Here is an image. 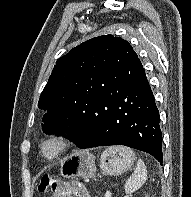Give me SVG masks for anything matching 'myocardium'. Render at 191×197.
<instances>
[{
  "label": "myocardium",
  "mask_w": 191,
  "mask_h": 197,
  "mask_svg": "<svg viewBox=\"0 0 191 197\" xmlns=\"http://www.w3.org/2000/svg\"><path fill=\"white\" fill-rule=\"evenodd\" d=\"M72 145V138L66 132L55 131L40 140L38 149L43 160L52 162L66 154Z\"/></svg>",
  "instance_id": "1"
}]
</instances>
